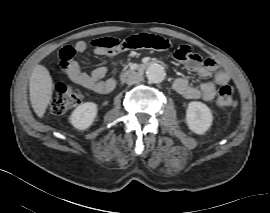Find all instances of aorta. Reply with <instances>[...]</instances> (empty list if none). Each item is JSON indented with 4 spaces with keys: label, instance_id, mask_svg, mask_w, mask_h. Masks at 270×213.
<instances>
[{
    "label": "aorta",
    "instance_id": "aorta-1",
    "mask_svg": "<svg viewBox=\"0 0 270 213\" xmlns=\"http://www.w3.org/2000/svg\"><path fill=\"white\" fill-rule=\"evenodd\" d=\"M147 78L152 83H161L165 79V70L159 64H152L146 71Z\"/></svg>",
    "mask_w": 270,
    "mask_h": 213
}]
</instances>
